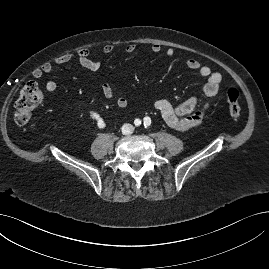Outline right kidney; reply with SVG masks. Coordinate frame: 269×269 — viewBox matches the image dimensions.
Returning a JSON list of instances; mask_svg holds the SVG:
<instances>
[{"label": "right kidney", "mask_w": 269, "mask_h": 269, "mask_svg": "<svg viewBox=\"0 0 269 269\" xmlns=\"http://www.w3.org/2000/svg\"><path fill=\"white\" fill-rule=\"evenodd\" d=\"M95 126L97 128H103L105 126V121L103 119H97L95 121Z\"/></svg>", "instance_id": "right-kidney-1"}]
</instances>
